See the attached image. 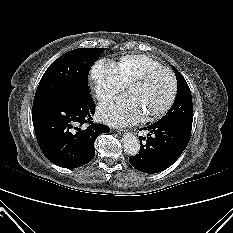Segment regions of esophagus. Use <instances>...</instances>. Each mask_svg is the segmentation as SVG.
<instances>
[{"label":"esophagus","instance_id":"34e87169","mask_svg":"<svg viewBox=\"0 0 233 233\" xmlns=\"http://www.w3.org/2000/svg\"><path fill=\"white\" fill-rule=\"evenodd\" d=\"M132 130H122V129H120V130H118V133L119 134H123V133H125V132H131Z\"/></svg>","mask_w":233,"mask_h":233}]
</instances>
